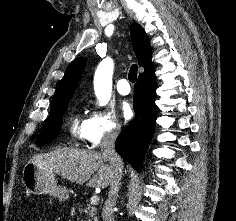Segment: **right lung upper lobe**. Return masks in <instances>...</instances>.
Returning a JSON list of instances; mask_svg holds the SVG:
<instances>
[{"instance_id":"right-lung-upper-lobe-1","label":"right lung upper lobe","mask_w":236,"mask_h":221,"mask_svg":"<svg viewBox=\"0 0 236 221\" xmlns=\"http://www.w3.org/2000/svg\"><path fill=\"white\" fill-rule=\"evenodd\" d=\"M131 39L139 65L145 69L144 73L152 71L153 65L151 62L152 51L150 42L142 27L136 23L131 25ZM85 63L86 60L82 57L75 60L68 66L65 71V75L60 81L58 88L53 96L51 109L60 104L68 102L72 98L84 69ZM144 73H141L139 75H142Z\"/></svg>"}]
</instances>
